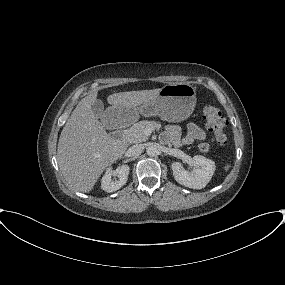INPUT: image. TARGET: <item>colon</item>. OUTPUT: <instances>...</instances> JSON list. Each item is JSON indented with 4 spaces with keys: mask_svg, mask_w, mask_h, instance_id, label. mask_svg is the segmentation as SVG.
<instances>
[{
    "mask_svg": "<svg viewBox=\"0 0 285 285\" xmlns=\"http://www.w3.org/2000/svg\"><path fill=\"white\" fill-rule=\"evenodd\" d=\"M202 113L207 129L213 135L216 142L221 146L225 145L227 143V136L224 130L227 126V121L222 116L221 111L212 104L204 103ZM199 149L202 152H208L210 145L207 142H201Z\"/></svg>",
    "mask_w": 285,
    "mask_h": 285,
    "instance_id": "colon-1",
    "label": "colon"
}]
</instances>
